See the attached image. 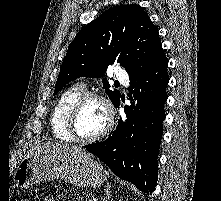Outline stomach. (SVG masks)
I'll return each instance as SVG.
<instances>
[{
	"mask_svg": "<svg viewBox=\"0 0 221 201\" xmlns=\"http://www.w3.org/2000/svg\"><path fill=\"white\" fill-rule=\"evenodd\" d=\"M62 179L79 187H99L107 172L91 155L35 152L23 158L13 176L16 186L28 187L43 181Z\"/></svg>",
	"mask_w": 221,
	"mask_h": 201,
	"instance_id": "0dacf381",
	"label": "stomach"
}]
</instances>
